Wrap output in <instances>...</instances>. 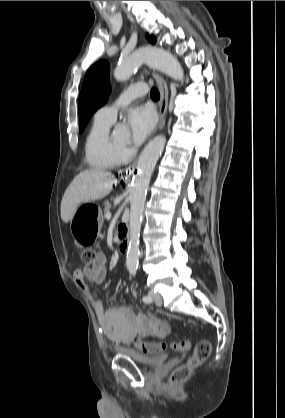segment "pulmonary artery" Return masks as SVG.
Here are the masks:
<instances>
[{
  "instance_id": "pulmonary-artery-1",
  "label": "pulmonary artery",
  "mask_w": 285,
  "mask_h": 418,
  "mask_svg": "<svg viewBox=\"0 0 285 418\" xmlns=\"http://www.w3.org/2000/svg\"><path fill=\"white\" fill-rule=\"evenodd\" d=\"M146 93H147V89L145 85L141 82L136 83L125 91L122 98L118 101L116 105L109 106V107H102L98 109L95 113V116L112 123L115 119L116 112L119 107L125 106L133 99L143 96Z\"/></svg>"
}]
</instances>
